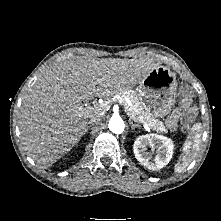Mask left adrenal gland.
<instances>
[{
  "label": "left adrenal gland",
  "instance_id": "a2214340",
  "mask_svg": "<svg viewBox=\"0 0 221 221\" xmlns=\"http://www.w3.org/2000/svg\"><path fill=\"white\" fill-rule=\"evenodd\" d=\"M132 132H134L135 128H141L139 124H134L132 121H130Z\"/></svg>",
  "mask_w": 221,
  "mask_h": 221
}]
</instances>
